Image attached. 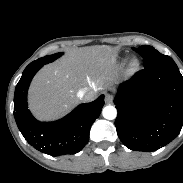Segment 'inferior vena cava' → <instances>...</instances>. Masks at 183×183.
Segmentation results:
<instances>
[{"mask_svg": "<svg viewBox=\"0 0 183 183\" xmlns=\"http://www.w3.org/2000/svg\"><path fill=\"white\" fill-rule=\"evenodd\" d=\"M77 96L86 102L92 101L97 96V90L92 88H85L78 91Z\"/></svg>", "mask_w": 183, "mask_h": 183, "instance_id": "602c4592", "label": "inferior vena cava"}]
</instances>
